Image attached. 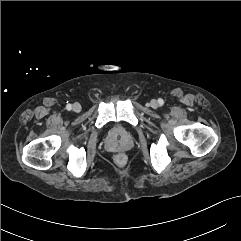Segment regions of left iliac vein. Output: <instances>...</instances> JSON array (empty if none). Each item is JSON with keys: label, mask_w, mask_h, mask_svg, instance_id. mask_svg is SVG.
I'll return each instance as SVG.
<instances>
[{"label": "left iliac vein", "mask_w": 241, "mask_h": 241, "mask_svg": "<svg viewBox=\"0 0 241 241\" xmlns=\"http://www.w3.org/2000/svg\"><path fill=\"white\" fill-rule=\"evenodd\" d=\"M150 105L152 108H157L159 106L158 101L155 99L151 100Z\"/></svg>", "instance_id": "4c4485c4"}]
</instances>
